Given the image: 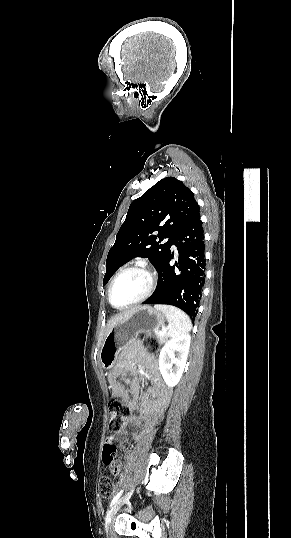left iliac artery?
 I'll use <instances>...</instances> for the list:
<instances>
[{
	"label": "left iliac artery",
	"mask_w": 291,
	"mask_h": 538,
	"mask_svg": "<svg viewBox=\"0 0 291 538\" xmlns=\"http://www.w3.org/2000/svg\"><path fill=\"white\" fill-rule=\"evenodd\" d=\"M122 493H123V490H120V492H118V493L114 496V498L112 499V501H111V503H110V507H112V506H113V505L120 499Z\"/></svg>",
	"instance_id": "1"
}]
</instances>
